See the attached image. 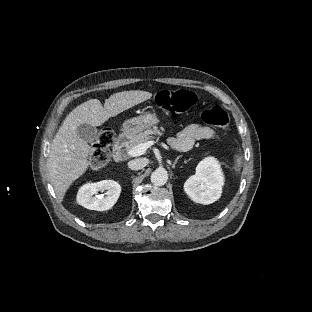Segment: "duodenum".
<instances>
[{"label":"duodenum","mask_w":312,"mask_h":312,"mask_svg":"<svg viewBox=\"0 0 312 312\" xmlns=\"http://www.w3.org/2000/svg\"><path fill=\"white\" fill-rule=\"evenodd\" d=\"M131 137L132 135L130 132H123L117 137L113 147V157L116 162L119 163L125 159L126 147L130 142Z\"/></svg>","instance_id":"duodenum-1"}]
</instances>
